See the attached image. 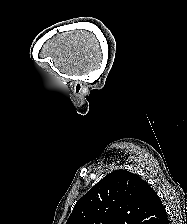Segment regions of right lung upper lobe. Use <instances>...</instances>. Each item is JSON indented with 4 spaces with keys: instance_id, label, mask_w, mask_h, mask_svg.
<instances>
[{
    "instance_id": "right-lung-upper-lobe-1",
    "label": "right lung upper lobe",
    "mask_w": 187,
    "mask_h": 224,
    "mask_svg": "<svg viewBox=\"0 0 187 224\" xmlns=\"http://www.w3.org/2000/svg\"><path fill=\"white\" fill-rule=\"evenodd\" d=\"M166 217L150 185L137 174L120 169L79 199L66 224H161Z\"/></svg>"
}]
</instances>
